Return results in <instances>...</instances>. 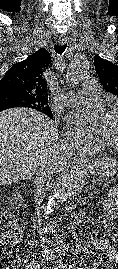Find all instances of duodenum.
Wrapping results in <instances>:
<instances>
[{
	"label": "duodenum",
	"instance_id": "duodenum-1",
	"mask_svg": "<svg viewBox=\"0 0 118 269\" xmlns=\"http://www.w3.org/2000/svg\"><path fill=\"white\" fill-rule=\"evenodd\" d=\"M82 214H77L73 220V226L79 225V223L82 221Z\"/></svg>",
	"mask_w": 118,
	"mask_h": 269
}]
</instances>
